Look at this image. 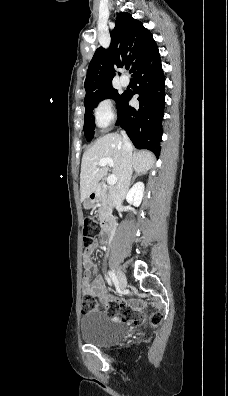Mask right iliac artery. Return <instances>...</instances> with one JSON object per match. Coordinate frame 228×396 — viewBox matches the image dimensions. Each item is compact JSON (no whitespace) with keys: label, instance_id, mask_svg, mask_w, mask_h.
Returning a JSON list of instances; mask_svg holds the SVG:
<instances>
[{"label":"right iliac artery","instance_id":"1","mask_svg":"<svg viewBox=\"0 0 228 396\" xmlns=\"http://www.w3.org/2000/svg\"><path fill=\"white\" fill-rule=\"evenodd\" d=\"M108 274H109V277H110V279L112 280V282H113L116 286H118L119 281H118V278H117V276L115 275V273L112 272V271H108ZM109 283H110V281H109Z\"/></svg>","mask_w":228,"mask_h":396}]
</instances>
